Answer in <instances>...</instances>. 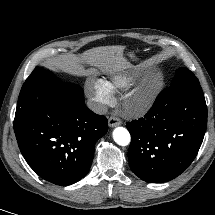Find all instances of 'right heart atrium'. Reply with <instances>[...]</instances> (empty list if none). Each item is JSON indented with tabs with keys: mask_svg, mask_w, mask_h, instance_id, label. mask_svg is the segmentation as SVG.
I'll return each instance as SVG.
<instances>
[{
	"mask_svg": "<svg viewBox=\"0 0 215 215\" xmlns=\"http://www.w3.org/2000/svg\"><path fill=\"white\" fill-rule=\"evenodd\" d=\"M87 90L95 103L97 111H102L108 105L113 103V94L105 81L99 79H90L87 82Z\"/></svg>",
	"mask_w": 215,
	"mask_h": 215,
	"instance_id": "d8ad5b80",
	"label": "right heart atrium"
}]
</instances>
